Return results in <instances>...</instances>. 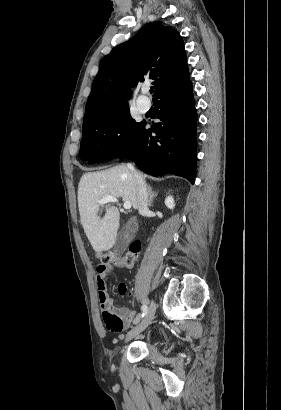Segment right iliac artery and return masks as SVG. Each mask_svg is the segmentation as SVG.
Wrapping results in <instances>:
<instances>
[{
    "label": "right iliac artery",
    "instance_id": "right-iliac-artery-1",
    "mask_svg": "<svg viewBox=\"0 0 281 410\" xmlns=\"http://www.w3.org/2000/svg\"><path fill=\"white\" fill-rule=\"evenodd\" d=\"M141 310H142V315H141V317H144V316L147 314V312H148V307H147V305H146V304H143L142 307H141Z\"/></svg>",
    "mask_w": 281,
    "mask_h": 410
}]
</instances>
